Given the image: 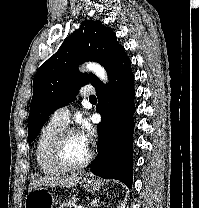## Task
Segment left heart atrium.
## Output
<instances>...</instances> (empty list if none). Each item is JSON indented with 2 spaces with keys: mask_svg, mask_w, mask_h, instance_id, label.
Segmentation results:
<instances>
[{
  "mask_svg": "<svg viewBox=\"0 0 199 208\" xmlns=\"http://www.w3.org/2000/svg\"><path fill=\"white\" fill-rule=\"evenodd\" d=\"M78 134H79L80 138L82 139V141L86 145H89V143L91 141V137H92V128L87 121L81 122V129L78 132Z\"/></svg>",
  "mask_w": 199,
  "mask_h": 208,
  "instance_id": "left-heart-atrium-1",
  "label": "left heart atrium"
}]
</instances>
